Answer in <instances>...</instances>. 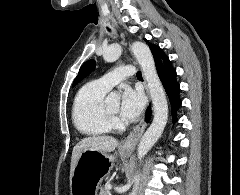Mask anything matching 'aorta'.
Masks as SVG:
<instances>
[{
	"label": "aorta",
	"instance_id": "obj_1",
	"mask_svg": "<svg viewBox=\"0 0 240 195\" xmlns=\"http://www.w3.org/2000/svg\"><path fill=\"white\" fill-rule=\"evenodd\" d=\"M131 48L133 56H135L148 84V90L154 109L153 121L147 131H145L144 135H142L138 145V157L139 159H142L164 131L168 119V103L163 86L156 72L153 56L148 46L142 44V42H134ZM121 54L122 48L120 44H111L109 48L104 50L103 58L106 62H115V60L120 58ZM139 177L140 175H135L133 179L134 185L129 195H137Z\"/></svg>",
	"mask_w": 240,
	"mask_h": 195
}]
</instances>
